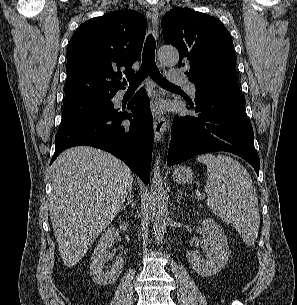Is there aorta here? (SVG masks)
I'll return each mask as SVG.
<instances>
[{
  "mask_svg": "<svg viewBox=\"0 0 297 305\" xmlns=\"http://www.w3.org/2000/svg\"><path fill=\"white\" fill-rule=\"evenodd\" d=\"M158 58L164 65L174 66L178 64L179 52L174 47H162L159 49ZM160 156H157L153 168V177L150 189V206L152 212V223L154 240L160 244L167 230L169 220L167 197L160 173Z\"/></svg>",
  "mask_w": 297,
  "mask_h": 305,
  "instance_id": "1",
  "label": "aorta"
}]
</instances>
